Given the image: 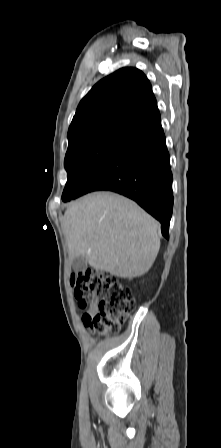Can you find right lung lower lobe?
I'll use <instances>...</instances> for the list:
<instances>
[{
  "instance_id": "obj_1",
  "label": "right lung lower lobe",
  "mask_w": 221,
  "mask_h": 448,
  "mask_svg": "<svg viewBox=\"0 0 221 448\" xmlns=\"http://www.w3.org/2000/svg\"><path fill=\"white\" fill-rule=\"evenodd\" d=\"M98 190L113 191L136 201L160 221L162 235L169 238L172 172L160 114L116 142L78 197Z\"/></svg>"
}]
</instances>
